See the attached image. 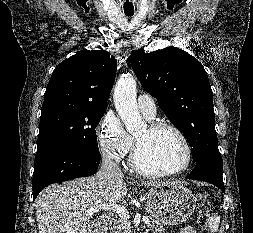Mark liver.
Segmentation results:
<instances>
[{"label":"liver","instance_id":"6515ba94","mask_svg":"<svg viewBox=\"0 0 253 233\" xmlns=\"http://www.w3.org/2000/svg\"><path fill=\"white\" fill-rule=\"evenodd\" d=\"M167 183L171 182H142L141 186ZM126 194L123 178L100 180L97 175L49 186L36 203L39 233H88L92 225L86 211L100 204H116Z\"/></svg>","mask_w":253,"mask_h":233}]
</instances>
